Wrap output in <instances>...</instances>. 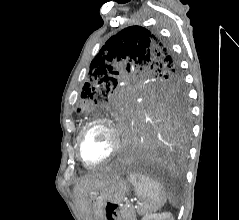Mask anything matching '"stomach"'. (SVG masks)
Here are the masks:
<instances>
[{
    "label": "stomach",
    "instance_id": "obj_1",
    "mask_svg": "<svg viewBox=\"0 0 239 220\" xmlns=\"http://www.w3.org/2000/svg\"><path fill=\"white\" fill-rule=\"evenodd\" d=\"M130 192V185L122 178H112L106 185L87 194L92 220H123L122 202ZM112 204V205H109Z\"/></svg>",
    "mask_w": 239,
    "mask_h": 220
}]
</instances>
